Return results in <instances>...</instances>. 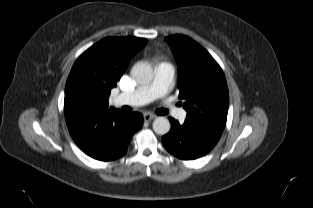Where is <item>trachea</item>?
I'll list each match as a JSON object with an SVG mask.
<instances>
[{
  "instance_id": "trachea-1",
  "label": "trachea",
  "mask_w": 313,
  "mask_h": 208,
  "mask_svg": "<svg viewBox=\"0 0 313 208\" xmlns=\"http://www.w3.org/2000/svg\"><path fill=\"white\" fill-rule=\"evenodd\" d=\"M167 113H168V110H166V109L157 110V114H159V115H166Z\"/></svg>"
}]
</instances>
